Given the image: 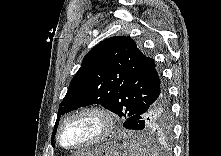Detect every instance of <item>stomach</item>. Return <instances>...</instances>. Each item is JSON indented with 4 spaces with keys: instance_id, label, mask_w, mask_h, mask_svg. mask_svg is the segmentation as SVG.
Returning a JSON list of instances; mask_svg holds the SVG:
<instances>
[{
    "instance_id": "1",
    "label": "stomach",
    "mask_w": 221,
    "mask_h": 156,
    "mask_svg": "<svg viewBox=\"0 0 221 156\" xmlns=\"http://www.w3.org/2000/svg\"><path fill=\"white\" fill-rule=\"evenodd\" d=\"M88 154L90 156H130L128 148L118 143L94 147L88 151Z\"/></svg>"
}]
</instances>
